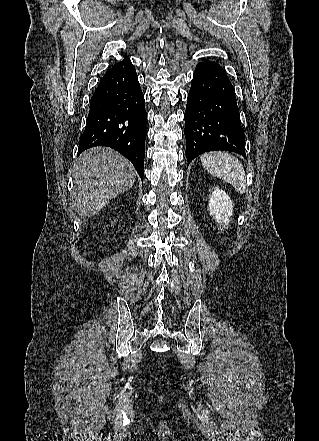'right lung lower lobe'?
I'll return each mask as SVG.
<instances>
[{
    "label": "right lung lower lobe",
    "instance_id": "98d812e1",
    "mask_svg": "<svg viewBox=\"0 0 319 441\" xmlns=\"http://www.w3.org/2000/svg\"><path fill=\"white\" fill-rule=\"evenodd\" d=\"M147 114L144 95L130 59L109 69L90 100L78 155L95 146H107L128 158L141 179Z\"/></svg>",
    "mask_w": 319,
    "mask_h": 441
}]
</instances>
